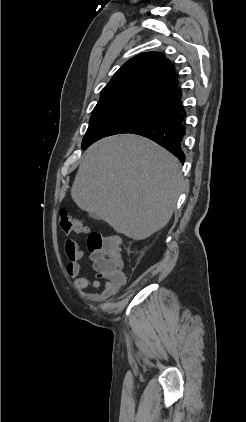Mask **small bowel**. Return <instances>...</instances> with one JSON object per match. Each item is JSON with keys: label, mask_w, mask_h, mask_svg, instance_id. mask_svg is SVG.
Masks as SVG:
<instances>
[{"label": "small bowel", "mask_w": 246, "mask_h": 422, "mask_svg": "<svg viewBox=\"0 0 246 422\" xmlns=\"http://www.w3.org/2000/svg\"><path fill=\"white\" fill-rule=\"evenodd\" d=\"M65 251L68 257V264L66 266L67 274L74 279L76 286L79 289L87 288H102L101 292H92L89 293V297L95 301L106 300L113 295H115L119 289L125 283V276L121 273L117 277H109L100 275L101 265H100V256L95 253H91L89 260L91 262L92 269L97 273L95 279H89L88 277L82 276L83 271L82 259L84 258V252L80 246L72 241L67 240L65 244ZM104 279V281H102Z\"/></svg>", "instance_id": "obj_1"}]
</instances>
